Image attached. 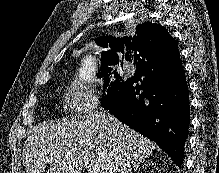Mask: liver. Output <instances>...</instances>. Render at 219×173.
<instances>
[{
  "label": "liver",
  "instance_id": "obj_1",
  "mask_svg": "<svg viewBox=\"0 0 219 173\" xmlns=\"http://www.w3.org/2000/svg\"><path fill=\"white\" fill-rule=\"evenodd\" d=\"M156 148L154 142L105 111L81 119L42 123L23 147L27 173H130Z\"/></svg>",
  "mask_w": 219,
  "mask_h": 173
}]
</instances>
